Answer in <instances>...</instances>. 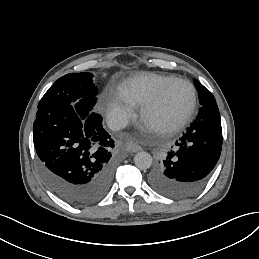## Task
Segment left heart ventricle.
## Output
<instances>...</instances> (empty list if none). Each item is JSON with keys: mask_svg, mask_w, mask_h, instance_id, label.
I'll use <instances>...</instances> for the list:
<instances>
[{"mask_svg": "<svg viewBox=\"0 0 259 259\" xmlns=\"http://www.w3.org/2000/svg\"><path fill=\"white\" fill-rule=\"evenodd\" d=\"M191 90L184 82H176L167 90L162 104L146 120L157 131L163 129L169 121L189 104Z\"/></svg>", "mask_w": 259, "mask_h": 259, "instance_id": "obj_1", "label": "left heart ventricle"}]
</instances>
